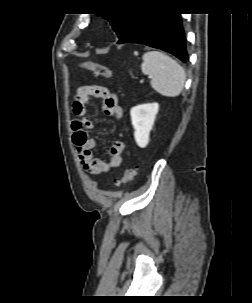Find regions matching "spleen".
I'll return each mask as SVG.
<instances>
[{"label": "spleen", "mask_w": 252, "mask_h": 303, "mask_svg": "<svg viewBox=\"0 0 252 303\" xmlns=\"http://www.w3.org/2000/svg\"><path fill=\"white\" fill-rule=\"evenodd\" d=\"M142 59V73L151 76V86L155 91L166 97H176L181 93L186 75L175 60L160 51H148Z\"/></svg>", "instance_id": "obj_1"}]
</instances>
